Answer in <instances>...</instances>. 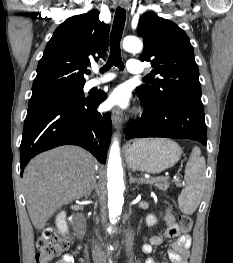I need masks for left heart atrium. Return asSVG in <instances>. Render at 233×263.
<instances>
[{
	"instance_id": "obj_1",
	"label": "left heart atrium",
	"mask_w": 233,
	"mask_h": 263,
	"mask_svg": "<svg viewBox=\"0 0 233 263\" xmlns=\"http://www.w3.org/2000/svg\"><path fill=\"white\" fill-rule=\"evenodd\" d=\"M108 109H125L129 106V92L125 86L112 90L105 102Z\"/></svg>"
}]
</instances>
